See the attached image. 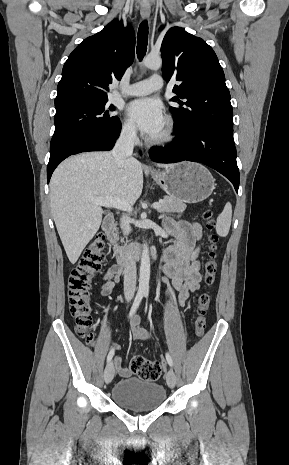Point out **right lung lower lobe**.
I'll use <instances>...</instances> for the list:
<instances>
[{
  "mask_svg": "<svg viewBox=\"0 0 289 465\" xmlns=\"http://www.w3.org/2000/svg\"><path fill=\"white\" fill-rule=\"evenodd\" d=\"M121 123L115 130L109 133H89L82 135L67 145L50 153V159L47 166V180L50 181L51 175L58 164L70 155L87 151H106L113 148L116 139L119 137Z\"/></svg>",
  "mask_w": 289,
  "mask_h": 465,
  "instance_id": "1",
  "label": "right lung lower lobe"
}]
</instances>
